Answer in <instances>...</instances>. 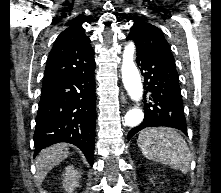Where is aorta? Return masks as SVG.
Listing matches in <instances>:
<instances>
[{"instance_id":"obj_1","label":"aorta","mask_w":221,"mask_h":193,"mask_svg":"<svg viewBox=\"0 0 221 193\" xmlns=\"http://www.w3.org/2000/svg\"><path fill=\"white\" fill-rule=\"evenodd\" d=\"M135 45L134 43H128L123 51L122 60V80L129 96L132 100L138 102L142 98L143 88L139 71L134 63ZM144 117L142 109L135 107L129 110L125 117V124L130 127L139 125Z\"/></svg>"}]
</instances>
